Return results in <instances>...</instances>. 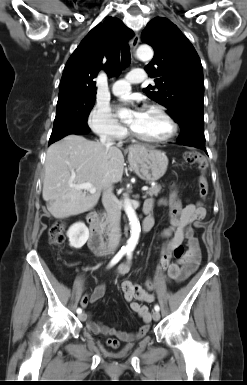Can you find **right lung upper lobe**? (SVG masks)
Returning <instances> with one entry per match:
<instances>
[{
    "label": "right lung upper lobe",
    "instance_id": "right-lung-upper-lobe-1",
    "mask_svg": "<svg viewBox=\"0 0 247 385\" xmlns=\"http://www.w3.org/2000/svg\"><path fill=\"white\" fill-rule=\"evenodd\" d=\"M132 36L133 32L118 18L108 17L103 23L94 27L67 61L59 95L66 93L96 95V83L93 79L101 68H104L110 76L119 73L120 47L126 38Z\"/></svg>",
    "mask_w": 247,
    "mask_h": 385
}]
</instances>
